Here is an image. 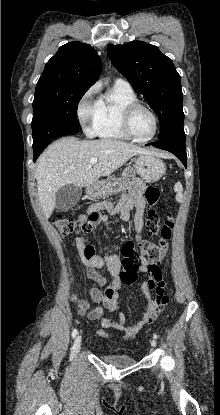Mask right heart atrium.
Instances as JSON below:
<instances>
[{"label":"right heart atrium","instance_id":"d8ad5b80","mask_svg":"<svg viewBox=\"0 0 220 415\" xmlns=\"http://www.w3.org/2000/svg\"><path fill=\"white\" fill-rule=\"evenodd\" d=\"M94 93L95 89H90L81 99L77 109L80 124L88 135H93L95 133V123L98 114V100H92Z\"/></svg>","mask_w":220,"mask_h":415}]
</instances>
